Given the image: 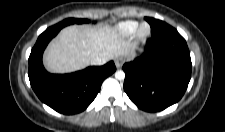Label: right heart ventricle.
<instances>
[{
  "instance_id": "right-heart-ventricle-1",
  "label": "right heart ventricle",
  "mask_w": 225,
  "mask_h": 132,
  "mask_svg": "<svg viewBox=\"0 0 225 132\" xmlns=\"http://www.w3.org/2000/svg\"><path fill=\"white\" fill-rule=\"evenodd\" d=\"M139 26V23L137 21L133 20H127L122 21L116 24L114 27V32L121 37H129L133 35Z\"/></svg>"
}]
</instances>
